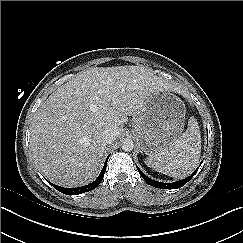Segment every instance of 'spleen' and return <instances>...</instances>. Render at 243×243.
I'll return each instance as SVG.
<instances>
[{
  "mask_svg": "<svg viewBox=\"0 0 243 243\" xmlns=\"http://www.w3.org/2000/svg\"><path fill=\"white\" fill-rule=\"evenodd\" d=\"M201 136L195 118L188 122V129L161 152L146 157L145 164L163 174L183 178L198 166L201 152Z\"/></svg>",
  "mask_w": 243,
  "mask_h": 243,
  "instance_id": "3e777b00",
  "label": "spleen"
}]
</instances>
